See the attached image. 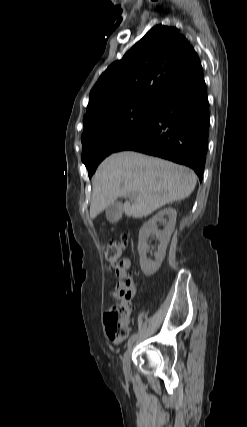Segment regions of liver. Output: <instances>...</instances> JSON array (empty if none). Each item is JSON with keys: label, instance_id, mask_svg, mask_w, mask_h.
<instances>
[{"label": "liver", "instance_id": "obj_1", "mask_svg": "<svg viewBox=\"0 0 247 427\" xmlns=\"http://www.w3.org/2000/svg\"><path fill=\"white\" fill-rule=\"evenodd\" d=\"M197 182L189 168L134 151L114 153L97 168L92 180L90 217L94 219L118 197L131 194L125 215L142 218L166 204L191 195Z\"/></svg>", "mask_w": 247, "mask_h": 427}]
</instances>
